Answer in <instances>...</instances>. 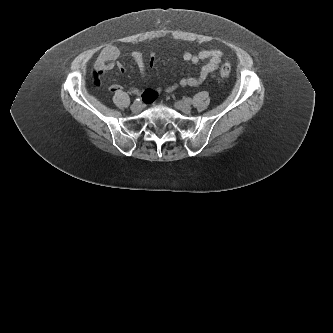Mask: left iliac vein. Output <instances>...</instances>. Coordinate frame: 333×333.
<instances>
[{"label": "left iliac vein", "mask_w": 333, "mask_h": 333, "mask_svg": "<svg viewBox=\"0 0 333 333\" xmlns=\"http://www.w3.org/2000/svg\"><path fill=\"white\" fill-rule=\"evenodd\" d=\"M175 107L185 114H189L191 112V106L183 101H177L175 103Z\"/></svg>", "instance_id": "1"}]
</instances>
